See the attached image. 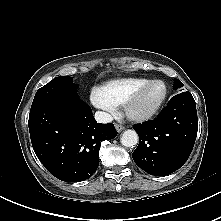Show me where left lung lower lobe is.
<instances>
[{
	"mask_svg": "<svg viewBox=\"0 0 221 221\" xmlns=\"http://www.w3.org/2000/svg\"><path fill=\"white\" fill-rule=\"evenodd\" d=\"M133 128L139 135V145L132 153L135 163L151 175L173 173L187 161L197 136L198 118L191 93L172 97L157 118Z\"/></svg>",
	"mask_w": 221,
	"mask_h": 221,
	"instance_id": "obj_1",
	"label": "left lung lower lobe"
}]
</instances>
